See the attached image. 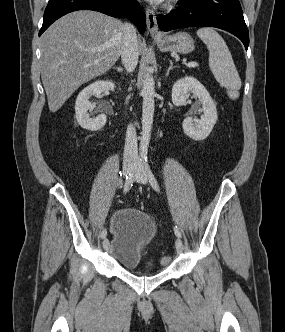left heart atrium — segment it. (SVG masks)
<instances>
[{
    "label": "left heart atrium",
    "instance_id": "1",
    "mask_svg": "<svg viewBox=\"0 0 285 332\" xmlns=\"http://www.w3.org/2000/svg\"><path fill=\"white\" fill-rule=\"evenodd\" d=\"M149 1L154 2V3H160V2H162L163 0H149Z\"/></svg>",
    "mask_w": 285,
    "mask_h": 332
}]
</instances>
